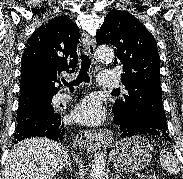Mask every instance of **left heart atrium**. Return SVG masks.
I'll list each match as a JSON object with an SVG mask.
<instances>
[{
    "instance_id": "1",
    "label": "left heart atrium",
    "mask_w": 183,
    "mask_h": 179,
    "mask_svg": "<svg viewBox=\"0 0 183 179\" xmlns=\"http://www.w3.org/2000/svg\"><path fill=\"white\" fill-rule=\"evenodd\" d=\"M104 109L94 97H86L73 110V120L85 125H98L104 119Z\"/></svg>"
}]
</instances>
